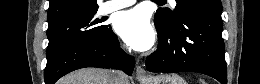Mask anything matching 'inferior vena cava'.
I'll return each instance as SVG.
<instances>
[{
    "mask_svg": "<svg viewBox=\"0 0 260 84\" xmlns=\"http://www.w3.org/2000/svg\"><path fill=\"white\" fill-rule=\"evenodd\" d=\"M115 84H129L127 75L122 71H116L114 77Z\"/></svg>",
    "mask_w": 260,
    "mask_h": 84,
    "instance_id": "1",
    "label": "inferior vena cava"
}]
</instances>
